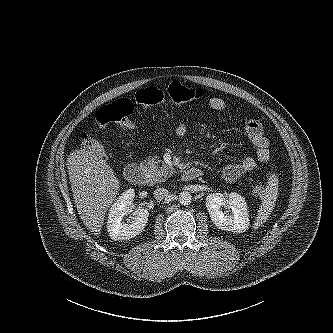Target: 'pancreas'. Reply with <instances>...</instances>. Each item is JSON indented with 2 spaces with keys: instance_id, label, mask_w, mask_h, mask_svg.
Instances as JSON below:
<instances>
[{
  "instance_id": "1",
  "label": "pancreas",
  "mask_w": 333,
  "mask_h": 333,
  "mask_svg": "<svg viewBox=\"0 0 333 333\" xmlns=\"http://www.w3.org/2000/svg\"><path fill=\"white\" fill-rule=\"evenodd\" d=\"M145 169L154 183L165 182L174 172L173 167L166 164L160 166V160L156 158L149 159L146 162Z\"/></svg>"
}]
</instances>
